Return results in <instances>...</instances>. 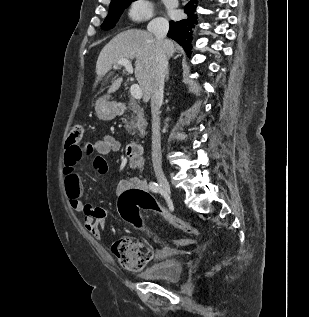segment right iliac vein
I'll return each instance as SVG.
<instances>
[{"label": "right iliac vein", "mask_w": 309, "mask_h": 317, "mask_svg": "<svg viewBox=\"0 0 309 317\" xmlns=\"http://www.w3.org/2000/svg\"><path fill=\"white\" fill-rule=\"evenodd\" d=\"M156 178H157L161 188L165 192V194L170 197L171 196L170 185H169V182H168L165 174L162 171H156Z\"/></svg>", "instance_id": "obj_1"}]
</instances>
